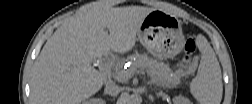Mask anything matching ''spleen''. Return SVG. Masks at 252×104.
<instances>
[{
    "mask_svg": "<svg viewBox=\"0 0 252 104\" xmlns=\"http://www.w3.org/2000/svg\"><path fill=\"white\" fill-rule=\"evenodd\" d=\"M196 41L201 60L197 75L190 83V92L200 104H219L223 93L219 62L204 36L198 35Z\"/></svg>",
    "mask_w": 252,
    "mask_h": 104,
    "instance_id": "spleen-1",
    "label": "spleen"
}]
</instances>
